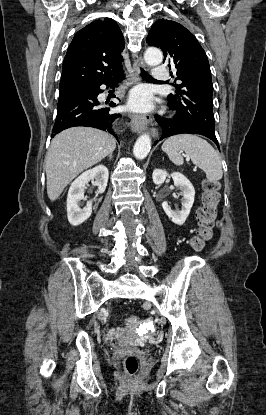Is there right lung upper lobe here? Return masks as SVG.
I'll return each mask as SVG.
<instances>
[{
  "label": "right lung upper lobe",
  "mask_w": 266,
  "mask_h": 415,
  "mask_svg": "<svg viewBox=\"0 0 266 415\" xmlns=\"http://www.w3.org/2000/svg\"><path fill=\"white\" fill-rule=\"evenodd\" d=\"M124 39L111 18L96 20L74 36L62 67L59 92L64 93L117 77L122 73Z\"/></svg>",
  "instance_id": "1"
}]
</instances>
